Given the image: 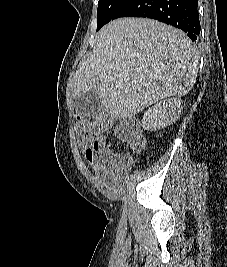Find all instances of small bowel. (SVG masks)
Masks as SVG:
<instances>
[{
	"label": "small bowel",
	"instance_id": "1",
	"mask_svg": "<svg viewBox=\"0 0 227 267\" xmlns=\"http://www.w3.org/2000/svg\"><path fill=\"white\" fill-rule=\"evenodd\" d=\"M117 133V130L115 132ZM79 146L84 152V155L89 162V164L95 169L97 173L102 170V163L106 157L105 152V139L102 137L98 143H96L92 138L82 137L79 141ZM129 168V161L123 160L120 164V170L127 171Z\"/></svg>",
	"mask_w": 227,
	"mask_h": 267
}]
</instances>
